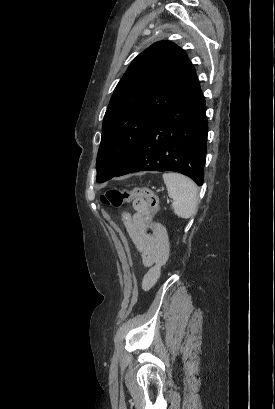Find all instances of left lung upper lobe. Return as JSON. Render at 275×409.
Here are the masks:
<instances>
[{"label":"left lung upper lobe","instance_id":"1","mask_svg":"<svg viewBox=\"0 0 275 409\" xmlns=\"http://www.w3.org/2000/svg\"><path fill=\"white\" fill-rule=\"evenodd\" d=\"M199 86L186 53L169 41L152 44L129 65L104 116L97 182L114 177L154 123Z\"/></svg>","mask_w":275,"mask_h":409}]
</instances>
